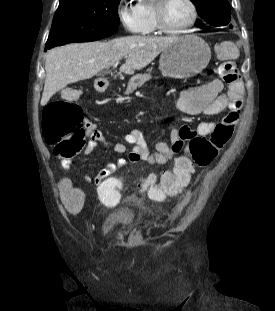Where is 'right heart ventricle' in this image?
<instances>
[{
  "label": "right heart ventricle",
  "mask_w": 275,
  "mask_h": 311,
  "mask_svg": "<svg viewBox=\"0 0 275 311\" xmlns=\"http://www.w3.org/2000/svg\"><path fill=\"white\" fill-rule=\"evenodd\" d=\"M153 6L154 0H139L135 5V10L143 23V28L140 32L143 35H151L157 30Z\"/></svg>",
  "instance_id": "obj_1"
}]
</instances>
